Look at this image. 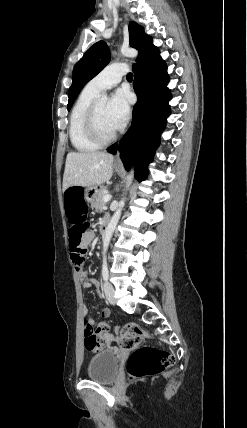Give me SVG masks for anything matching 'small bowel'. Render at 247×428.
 Here are the masks:
<instances>
[{"instance_id":"obj_1","label":"small bowel","mask_w":247,"mask_h":428,"mask_svg":"<svg viewBox=\"0 0 247 428\" xmlns=\"http://www.w3.org/2000/svg\"><path fill=\"white\" fill-rule=\"evenodd\" d=\"M93 239H94V233L93 232H91V231L85 232L82 236L79 248L84 250V253H85L87 251V248L89 247V245L92 243ZM72 260L77 267L79 280H80V284H81L82 288H89L93 285L97 286V283L89 277L87 271L82 269V266H79L73 251H72ZM97 293L99 296L102 295L99 290H97ZM102 309H108V308H102ZM87 312H88L87 306L83 305L82 306V313L85 316V318L88 319L92 323V326H93L95 323V320L92 317H87ZM101 324H107V323L101 322L99 325H101ZM103 334H105V336H106L105 340L107 341V343H111L113 341V337L110 333H103Z\"/></svg>"}]
</instances>
